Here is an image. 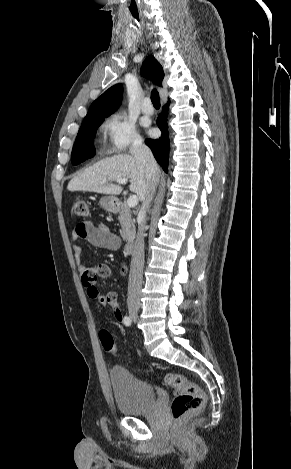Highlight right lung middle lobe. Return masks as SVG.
Returning <instances> with one entry per match:
<instances>
[{"label": "right lung middle lobe", "instance_id": "dd1d6c3e", "mask_svg": "<svg viewBox=\"0 0 291 469\" xmlns=\"http://www.w3.org/2000/svg\"><path fill=\"white\" fill-rule=\"evenodd\" d=\"M105 117L97 119L83 120L73 146L71 161L72 164H79L95 155L93 138L96 130L101 125Z\"/></svg>", "mask_w": 291, "mask_h": 469}]
</instances>
